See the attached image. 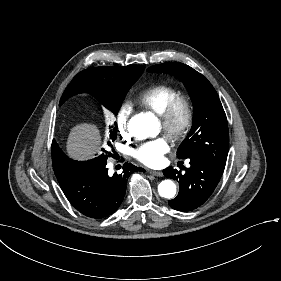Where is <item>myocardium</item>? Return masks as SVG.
<instances>
[{"mask_svg":"<svg viewBox=\"0 0 281 281\" xmlns=\"http://www.w3.org/2000/svg\"><path fill=\"white\" fill-rule=\"evenodd\" d=\"M178 109L182 110V120L176 124L174 116ZM161 130L167 137L173 140H178L184 137L189 131L193 122V108L191 102L185 96H178L173 98L164 108V110L157 114Z\"/></svg>","mask_w":281,"mask_h":281,"instance_id":"f54148a6","label":"myocardium"}]
</instances>
